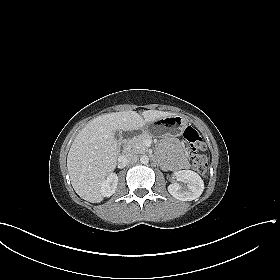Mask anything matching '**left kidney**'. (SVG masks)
Returning a JSON list of instances; mask_svg holds the SVG:
<instances>
[{"instance_id":"left-kidney-1","label":"left kidney","mask_w":280,"mask_h":280,"mask_svg":"<svg viewBox=\"0 0 280 280\" xmlns=\"http://www.w3.org/2000/svg\"><path fill=\"white\" fill-rule=\"evenodd\" d=\"M173 176H175L178 181L187 183L186 188H183L175 181L168 186V192L180 201L194 200L204 191V182L194 171L180 170L175 172Z\"/></svg>"}]
</instances>
